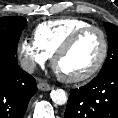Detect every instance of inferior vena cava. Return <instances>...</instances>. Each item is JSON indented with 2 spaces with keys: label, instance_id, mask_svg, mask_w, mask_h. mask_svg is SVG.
I'll return each mask as SVG.
<instances>
[{
  "label": "inferior vena cava",
  "instance_id": "1",
  "mask_svg": "<svg viewBox=\"0 0 118 118\" xmlns=\"http://www.w3.org/2000/svg\"><path fill=\"white\" fill-rule=\"evenodd\" d=\"M21 68L28 73H33L36 68V62L30 58H23L21 60Z\"/></svg>",
  "mask_w": 118,
  "mask_h": 118
}]
</instances>
